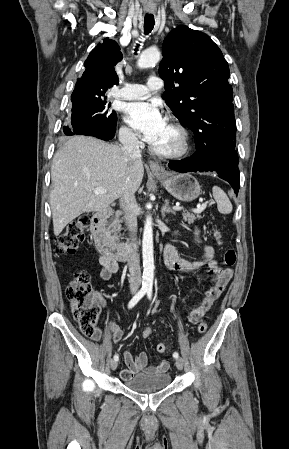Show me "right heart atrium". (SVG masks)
<instances>
[{
  "label": "right heart atrium",
  "mask_w": 289,
  "mask_h": 449,
  "mask_svg": "<svg viewBox=\"0 0 289 449\" xmlns=\"http://www.w3.org/2000/svg\"><path fill=\"white\" fill-rule=\"evenodd\" d=\"M120 139L123 143L128 145L137 143L136 134L130 128L125 126L120 129Z\"/></svg>",
  "instance_id": "obj_1"
}]
</instances>
